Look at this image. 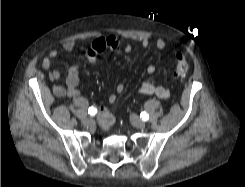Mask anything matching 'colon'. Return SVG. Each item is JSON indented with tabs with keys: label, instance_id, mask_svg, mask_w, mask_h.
<instances>
[{
	"label": "colon",
	"instance_id": "obj_1",
	"mask_svg": "<svg viewBox=\"0 0 245 187\" xmlns=\"http://www.w3.org/2000/svg\"><path fill=\"white\" fill-rule=\"evenodd\" d=\"M174 58H175V76L178 79L183 80L188 73V69H189L188 62L185 56L180 52H176Z\"/></svg>",
	"mask_w": 245,
	"mask_h": 187
}]
</instances>
